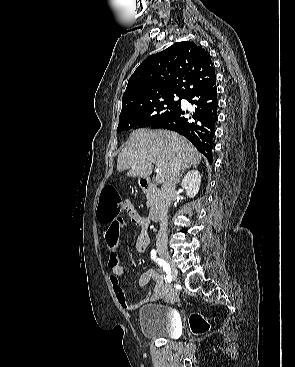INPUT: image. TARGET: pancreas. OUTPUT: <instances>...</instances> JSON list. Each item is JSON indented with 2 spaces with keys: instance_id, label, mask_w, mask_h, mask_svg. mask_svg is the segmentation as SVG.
<instances>
[{
  "instance_id": "1",
  "label": "pancreas",
  "mask_w": 295,
  "mask_h": 367,
  "mask_svg": "<svg viewBox=\"0 0 295 367\" xmlns=\"http://www.w3.org/2000/svg\"><path fill=\"white\" fill-rule=\"evenodd\" d=\"M146 198H147V203H146L147 207H153L157 200L156 195L153 193H147Z\"/></svg>"
}]
</instances>
